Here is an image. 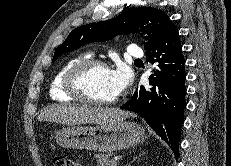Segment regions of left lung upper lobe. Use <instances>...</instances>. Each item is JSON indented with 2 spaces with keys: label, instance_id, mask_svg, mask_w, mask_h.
<instances>
[{
  "label": "left lung upper lobe",
  "instance_id": "left-lung-upper-lobe-1",
  "mask_svg": "<svg viewBox=\"0 0 231 166\" xmlns=\"http://www.w3.org/2000/svg\"><path fill=\"white\" fill-rule=\"evenodd\" d=\"M175 25L167 14L155 8H133L107 21L80 26L70 32L56 48L52 62L87 43L111 40L116 35L138 33L145 39L146 52L156 45Z\"/></svg>",
  "mask_w": 231,
  "mask_h": 166
}]
</instances>
